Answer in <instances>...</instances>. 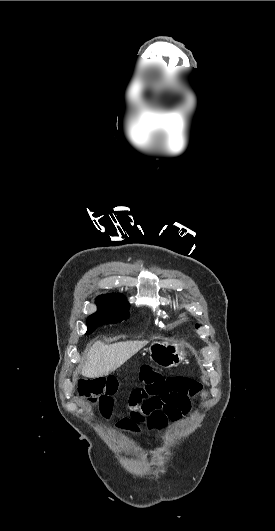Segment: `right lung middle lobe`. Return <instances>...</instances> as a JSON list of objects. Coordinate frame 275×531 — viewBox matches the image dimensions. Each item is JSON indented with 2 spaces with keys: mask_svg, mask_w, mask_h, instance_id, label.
<instances>
[{
  "mask_svg": "<svg viewBox=\"0 0 275 531\" xmlns=\"http://www.w3.org/2000/svg\"><path fill=\"white\" fill-rule=\"evenodd\" d=\"M98 310L87 318L88 330L92 333L103 324H115L129 317V303L122 294H106L96 298Z\"/></svg>",
  "mask_w": 275,
  "mask_h": 531,
  "instance_id": "dd1d6c3e",
  "label": "right lung middle lobe"
}]
</instances>
